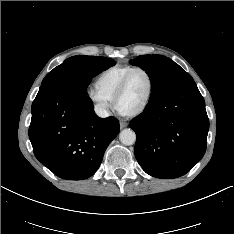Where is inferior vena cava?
Segmentation results:
<instances>
[{
  "instance_id": "obj_1",
  "label": "inferior vena cava",
  "mask_w": 234,
  "mask_h": 234,
  "mask_svg": "<svg viewBox=\"0 0 234 234\" xmlns=\"http://www.w3.org/2000/svg\"><path fill=\"white\" fill-rule=\"evenodd\" d=\"M95 113L101 118H106L109 116L108 111L100 104L95 105Z\"/></svg>"
}]
</instances>
